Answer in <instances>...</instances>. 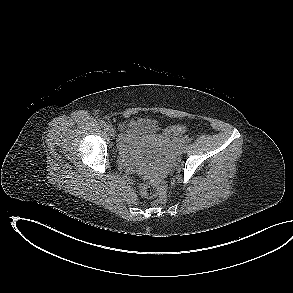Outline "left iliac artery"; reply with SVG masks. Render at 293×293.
Segmentation results:
<instances>
[{"instance_id": "1", "label": "left iliac artery", "mask_w": 293, "mask_h": 293, "mask_svg": "<svg viewBox=\"0 0 293 293\" xmlns=\"http://www.w3.org/2000/svg\"><path fill=\"white\" fill-rule=\"evenodd\" d=\"M190 141H191L190 138H186V139L184 140L185 143H189Z\"/></svg>"}]
</instances>
